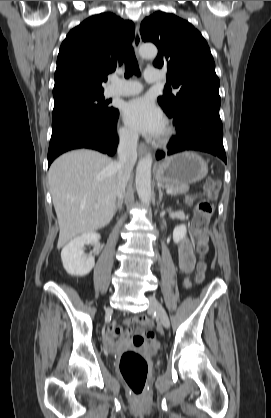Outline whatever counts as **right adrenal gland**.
Returning <instances> with one entry per match:
<instances>
[{"mask_svg":"<svg viewBox=\"0 0 271 418\" xmlns=\"http://www.w3.org/2000/svg\"><path fill=\"white\" fill-rule=\"evenodd\" d=\"M122 204H123V199H120L117 201V205L115 208V213L117 212V210H121L122 209Z\"/></svg>","mask_w":271,"mask_h":418,"instance_id":"2a0ac1e0","label":"right adrenal gland"}]
</instances>
